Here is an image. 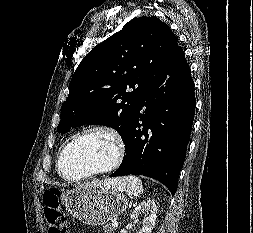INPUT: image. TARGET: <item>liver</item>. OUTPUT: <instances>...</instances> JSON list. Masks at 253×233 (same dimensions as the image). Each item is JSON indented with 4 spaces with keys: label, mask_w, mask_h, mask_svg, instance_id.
Wrapping results in <instances>:
<instances>
[{
    "label": "liver",
    "mask_w": 253,
    "mask_h": 233,
    "mask_svg": "<svg viewBox=\"0 0 253 233\" xmlns=\"http://www.w3.org/2000/svg\"><path fill=\"white\" fill-rule=\"evenodd\" d=\"M110 180L108 179V180H105L104 182H102V181H99V182H96V183H99V184H103V185H105L106 187H108L107 185H110ZM109 188V187H108Z\"/></svg>",
    "instance_id": "1"
}]
</instances>
